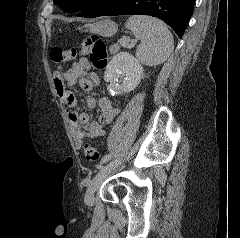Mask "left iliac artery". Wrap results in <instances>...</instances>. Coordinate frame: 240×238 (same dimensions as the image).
<instances>
[{
    "mask_svg": "<svg viewBox=\"0 0 240 238\" xmlns=\"http://www.w3.org/2000/svg\"><path fill=\"white\" fill-rule=\"evenodd\" d=\"M110 159H111V155H110V154L105 155V156L102 158V160H101V162H100V165H99L98 167L100 168V167L102 166V164H105V163L108 162Z\"/></svg>",
    "mask_w": 240,
    "mask_h": 238,
    "instance_id": "obj_1",
    "label": "left iliac artery"
}]
</instances>
